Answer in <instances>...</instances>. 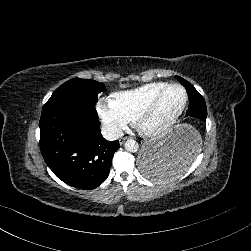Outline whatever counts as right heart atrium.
<instances>
[{
	"label": "right heart atrium",
	"mask_w": 251,
	"mask_h": 251,
	"mask_svg": "<svg viewBox=\"0 0 251 251\" xmlns=\"http://www.w3.org/2000/svg\"><path fill=\"white\" fill-rule=\"evenodd\" d=\"M96 110L108 132L115 137L122 136L136 123V118L121 107L114 95L99 98Z\"/></svg>",
	"instance_id": "right-heart-atrium-1"
}]
</instances>
